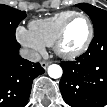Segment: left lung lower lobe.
<instances>
[{
    "mask_svg": "<svg viewBox=\"0 0 107 107\" xmlns=\"http://www.w3.org/2000/svg\"><path fill=\"white\" fill-rule=\"evenodd\" d=\"M59 88L71 107L107 104V27L94 33L88 50L76 61L61 62Z\"/></svg>",
    "mask_w": 107,
    "mask_h": 107,
    "instance_id": "0a47b994",
    "label": "left lung lower lobe"
}]
</instances>
